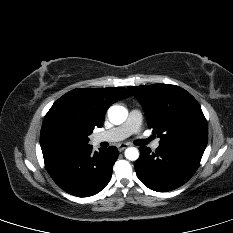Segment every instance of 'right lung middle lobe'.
Returning <instances> with one entry per match:
<instances>
[{"mask_svg":"<svg viewBox=\"0 0 233 233\" xmlns=\"http://www.w3.org/2000/svg\"><path fill=\"white\" fill-rule=\"evenodd\" d=\"M92 131L62 110L50 109L42 123L40 145L83 147L88 145Z\"/></svg>","mask_w":233,"mask_h":233,"instance_id":"dd1d6c3e","label":"right lung middle lobe"}]
</instances>
